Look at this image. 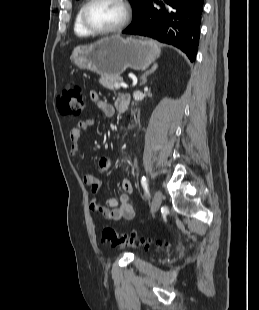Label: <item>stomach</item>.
<instances>
[{"label": "stomach", "mask_w": 259, "mask_h": 310, "mask_svg": "<svg viewBox=\"0 0 259 310\" xmlns=\"http://www.w3.org/2000/svg\"><path fill=\"white\" fill-rule=\"evenodd\" d=\"M159 56L160 48L152 40L113 35L74 48L71 59L81 69L102 76H120L127 68L146 69Z\"/></svg>", "instance_id": "1"}]
</instances>
